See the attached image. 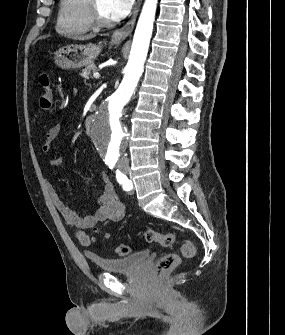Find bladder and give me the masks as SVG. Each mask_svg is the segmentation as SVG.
<instances>
[{
    "mask_svg": "<svg viewBox=\"0 0 285 335\" xmlns=\"http://www.w3.org/2000/svg\"><path fill=\"white\" fill-rule=\"evenodd\" d=\"M148 250L141 249L126 256L92 258V265L102 268L106 273H133L145 264Z\"/></svg>",
    "mask_w": 285,
    "mask_h": 335,
    "instance_id": "31cf9c89",
    "label": "bladder"
}]
</instances>
